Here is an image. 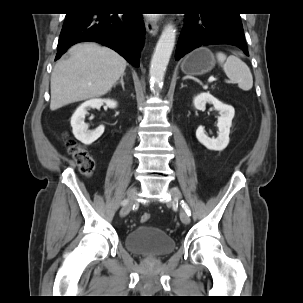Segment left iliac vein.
Listing matches in <instances>:
<instances>
[{"instance_id": "obj_1", "label": "left iliac vein", "mask_w": 303, "mask_h": 303, "mask_svg": "<svg viewBox=\"0 0 303 303\" xmlns=\"http://www.w3.org/2000/svg\"><path fill=\"white\" fill-rule=\"evenodd\" d=\"M170 193L172 196V200L170 202H168V204H175L181 200L182 194L179 189L171 188ZM180 219H181L182 223H184V224L190 223V216L185 211L180 212Z\"/></svg>"}]
</instances>
